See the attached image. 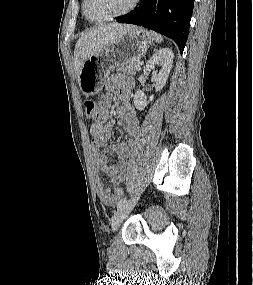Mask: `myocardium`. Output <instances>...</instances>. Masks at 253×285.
<instances>
[{"label": "myocardium", "mask_w": 253, "mask_h": 285, "mask_svg": "<svg viewBox=\"0 0 253 285\" xmlns=\"http://www.w3.org/2000/svg\"><path fill=\"white\" fill-rule=\"evenodd\" d=\"M139 1L140 0H132L130 5L126 9H124L123 11L118 12V13L113 14V15H110V16L95 19V18H92L88 15V13H87V0H83V13H84L86 19L89 20L90 22H94V23L106 22V21H110V20L116 19L118 17H121L123 15L130 13L132 10H134L136 8Z\"/></svg>", "instance_id": "obj_1"}]
</instances>
